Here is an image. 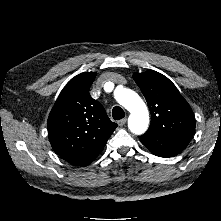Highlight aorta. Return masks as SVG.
<instances>
[{
    "mask_svg": "<svg viewBox=\"0 0 221 221\" xmlns=\"http://www.w3.org/2000/svg\"><path fill=\"white\" fill-rule=\"evenodd\" d=\"M114 97L130 112L128 118L130 131L137 135L143 134L149 125V113L143 100L137 93L127 88L116 89Z\"/></svg>",
    "mask_w": 221,
    "mask_h": 221,
    "instance_id": "aorta-1",
    "label": "aorta"
}]
</instances>
